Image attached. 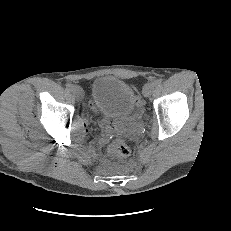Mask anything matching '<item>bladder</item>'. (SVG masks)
I'll list each match as a JSON object with an SVG mask.
<instances>
[{
  "label": "bladder",
  "mask_w": 231,
  "mask_h": 231,
  "mask_svg": "<svg viewBox=\"0 0 231 231\" xmlns=\"http://www.w3.org/2000/svg\"><path fill=\"white\" fill-rule=\"evenodd\" d=\"M91 95L98 110L110 118L126 117L136 105V95L132 87L114 76L96 78L92 84Z\"/></svg>",
  "instance_id": "1"
}]
</instances>
